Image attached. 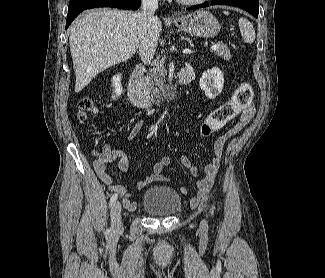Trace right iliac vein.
Listing matches in <instances>:
<instances>
[{
	"mask_svg": "<svg viewBox=\"0 0 325 278\" xmlns=\"http://www.w3.org/2000/svg\"><path fill=\"white\" fill-rule=\"evenodd\" d=\"M121 204L119 201H115L111 208V227L114 235L122 232V218H121Z\"/></svg>",
	"mask_w": 325,
	"mask_h": 278,
	"instance_id": "obj_1",
	"label": "right iliac vein"
}]
</instances>
